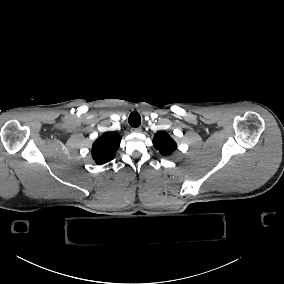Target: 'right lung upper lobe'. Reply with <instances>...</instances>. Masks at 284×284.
Masks as SVG:
<instances>
[{
    "instance_id": "1",
    "label": "right lung upper lobe",
    "mask_w": 284,
    "mask_h": 284,
    "mask_svg": "<svg viewBox=\"0 0 284 284\" xmlns=\"http://www.w3.org/2000/svg\"><path fill=\"white\" fill-rule=\"evenodd\" d=\"M121 137L117 132H106L92 146V157L97 164H104L115 157Z\"/></svg>"
}]
</instances>
